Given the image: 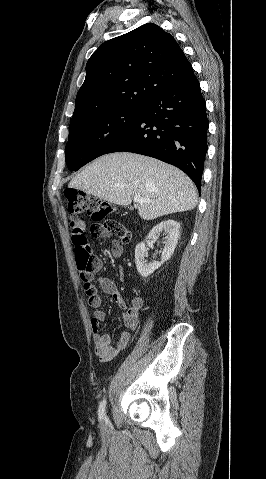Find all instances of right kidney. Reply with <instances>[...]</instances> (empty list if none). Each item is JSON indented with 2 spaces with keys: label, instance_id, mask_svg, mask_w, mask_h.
Returning a JSON list of instances; mask_svg holds the SVG:
<instances>
[{
  "label": "right kidney",
  "instance_id": "1",
  "mask_svg": "<svg viewBox=\"0 0 266 479\" xmlns=\"http://www.w3.org/2000/svg\"><path fill=\"white\" fill-rule=\"evenodd\" d=\"M180 224L175 220H165L152 228L149 232L147 239H157L160 232H164L166 235L165 240L162 242L164 245L161 261H154L148 263L145 257L146 254V245L145 242L139 243L135 248V263L137 271L142 277H148L156 269H158L165 261L169 260L174 253L178 239L180 236ZM146 239V240H147Z\"/></svg>",
  "mask_w": 266,
  "mask_h": 479
}]
</instances>
